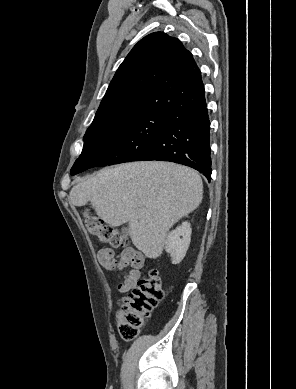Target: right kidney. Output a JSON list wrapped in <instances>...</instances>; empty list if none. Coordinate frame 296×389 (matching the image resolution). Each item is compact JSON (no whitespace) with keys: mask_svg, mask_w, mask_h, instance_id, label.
<instances>
[{"mask_svg":"<svg viewBox=\"0 0 296 389\" xmlns=\"http://www.w3.org/2000/svg\"><path fill=\"white\" fill-rule=\"evenodd\" d=\"M191 232L190 223L185 221L168 234L164 246L170 254L172 264L180 263L185 257L191 241Z\"/></svg>","mask_w":296,"mask_h":389,"instance_id":"1","label":"right kidney"}]
</instances>
